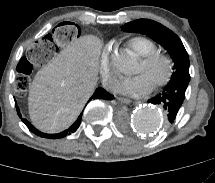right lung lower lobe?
I'll return each instance as SVG.
<instances>
[{"mask_svg":"<svg viewBox=\"0 0 215 183\" xmlns=\"http://www.w3.org/2000/svg\"><path fill=\"white\" fill-rule=\"evenodd\" d=\"M113 98H114L113 95L109 94L103 88L99 87V88L96 89V91L94 92V94L92 95L90 100H92V99L112 100ZM16 109H17L18 115L21 117V114H20V111H19V108H18L17 104H16ZM81 117H82V113L80 114V116L78 117L76 122L69 129H67V130H65V131H63L61 133L52 134V135L40 132L32 124H30L26 119H22V121L29 128V130L31 132H33L34 134H36L38 136H41V137H44V138L57 139V138H63L65 136L70 135L71 133L75 132L77 130V128L79 127L80 123H81Z\"/></svg>","mask_w":215,"mask_h":183,"instance_id":"right-lung-lower-lobe-1","label":"right lung lower lobe"}]
</instances>
